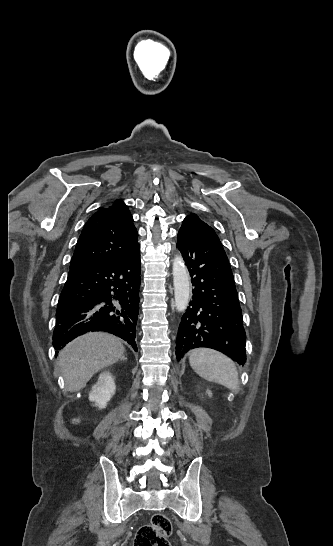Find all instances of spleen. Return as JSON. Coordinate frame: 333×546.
Instances as JSON below:
<instances>
[{"label":"spleen","instance_id":"obj_1","mask_svg":"<svg viewBox=\"0 0 333 546\" xmlns=\"http://www.w3.org/2000/svg\"><path fill=\"white\" fill-rule=\"evenodd\" d=\"M189 362L203 379L217 382L231 390L239 388L237 369L224 354L206 348L195 349L190 353Z\"/></svg>","mask_w":333,"mask_h":546}]
</instances>
